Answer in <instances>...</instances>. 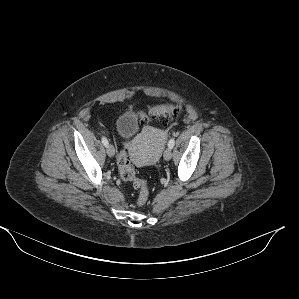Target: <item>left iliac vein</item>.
Returning a JSON list of instances; mask_svg holds the SVG:
<instances>
[{
    "label": "left iliac vein",
    "instance_id": "4c4485c4",
    "mask_svg": "<svg viewBox=\"0 0 299 299\" xmlns=\"http://www.w3.org/2000/svg\"><path fill=\"white\" fill-rule=\"evenodd\" d=\"M163 157L166 161H169L172 157V150L171 148H167L165 151H164V154H163Z\"/></svg>",
    "mask_w": 299,
    "mask_h": 299
}]
</instances>
